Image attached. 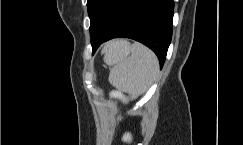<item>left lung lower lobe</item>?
Here are the masks:
<instances>
[{
  "instance_id": "1",
  "label": "left lung lower lobe",
  "mask_w": 243,
  "mask_h": 145,
  "mask_svg": "<svg viewBox=\"0 0 243 145\" xmlns=\"http://www.w3.org/2000/svg\"><path fill=\"white\" fill-rule=\"evenodd\" d=\"M173 0H128L107 31L90 26L92 54L116 37L139 41L157 55L163 66L172 37Z\"/></svg>"
}]
</instances>
